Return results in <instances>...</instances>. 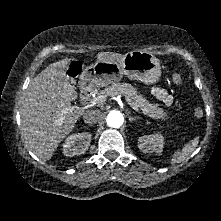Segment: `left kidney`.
Wrapping results in <instances>:
<instances>
[{
  "label": "left kidney",
  "mask_w": 221,
  "mask_h": 221,
  "mask_svg": "<svg viewBox=\"0 0 221 221\" xmlns=\"http://www.w3.org/2000/svg\"><path fill=\"white\" fill-rule=\"evenodd\" d=\"M163 146L164 137L159 133L144 135L138 139V147L143 153H161Z\"/></svg>",
  "instance_id": "obj_1"
}]
</instances>
